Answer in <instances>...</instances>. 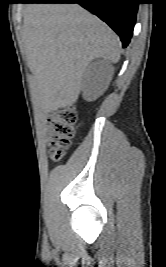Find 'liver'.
<instances>
[{"mask_svg": "<svg viewBox=\"0 0 166 267\" xmlns=\"http://www.w3.org/2000/svg\"><path fill=\"white\" fill-rule=\"evenodd\" d=\"M22 38L38 104L46 112L77 101L93 59L116 63L121 54L118 36L77 4L27 5Z\"/></svg>", "mask_w": 166, "mask_h": 267, "instance_id": "1", "label": "liver"}]
</instances>
